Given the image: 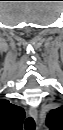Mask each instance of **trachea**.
Masks as SVG:
<instances>
[{
    "mask_svg": "<svg viewBox=\"0 0 63 130\" xmlns=\"http://www.w3.org/2000/svg\"><path fill=\"white\" fill-rule=\"evenodd\" d=\"M35 127H36V124H35L34 119L32 117H28L24 123L25 130H35Z\"/></svg>",
    "mask_w": 63,
    "mask_h": 130,
    "instance_id": "1",
    "label": "trachea"
}]
</instances>
